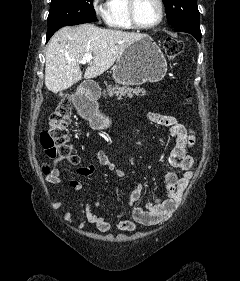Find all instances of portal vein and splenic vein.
I'll list each match as a JSON object with an SVG mask.
<instances>
[{"instance_id": "1", "label": "portal vein and splenic vein", "mask_w": 240, "mask_h": 281, "mask_svg": "<svg viewBox=\"0 0 240 281\" xmlns=\"http://www.w3.org/2000/svg\"><path fill=\"white\" fill-rule=\"evenodd\" d=\"M92 59H93L92 54L87 53L79 60V63H81V64L91 63Z\"/></svg>"}]
</instances>
